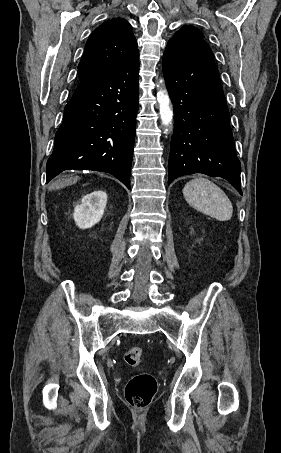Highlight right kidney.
I'll return each mask as SVG.
<instances>
[{
	"mask_svg": "<svg viewBox=\"0 0 281 453\" xmlns=\"http://www.w3.org/2000/svg\"><path fill=\"white\" fill-rule=\"evenodd\" d=\"M107 202L104 190H94L82 196L80 204H76L73 218L80 229H89L102 218Z\"/></svg>",
	"mask_w": 281,
	"mask_h": 453,
	"instance_id": "ca27d5eb",
	"label": "right kidney"
}]
</instances>
